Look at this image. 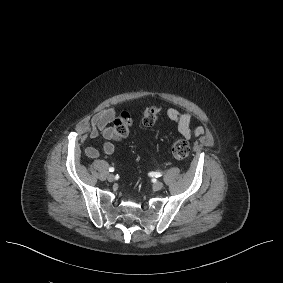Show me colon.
I'll use <instances>...</instances> for the list:
<instances>
[{
	"label": "colon",
	"instance_id": "colon-1",
	"mask_svg": "<svg viewBox=\"0 0 283 283\" xmlns=\"http://www.w3.org/2000/svg\"><path fill=\"white\" fill-rule=\"evenodd\" d=\"M159 108L149 106L145 109L142 117V123L146 127L153 126L159 117ZM132 126V118L127 112H122L114 121V139L117 141L126 138ZM190 152L189 143L183 138H177L171 145V153L177 160L185 159Z\"/></svg>",
	"mask_w": 283,
	"mask_h": 283
}]
</instances>
